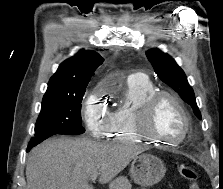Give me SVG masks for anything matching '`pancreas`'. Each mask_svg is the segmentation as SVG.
<instances>
[{
  "mask_svg": "<svg viewBox=\"0 0 223 189\" xmlns=\"http://www.w3.org/2000/svg\"><path fill=\"white\" fill-rule=\"evenodd\" d=\"M115 186H120L121 188L130 189L131 185L126 178H119L114 183Z\"/></svg>",
  "mask_w": 223,
  "mask_h": 189,
  "instance_id": "cf45deb5",
  "label": "pancreas"
}]
</instances>
